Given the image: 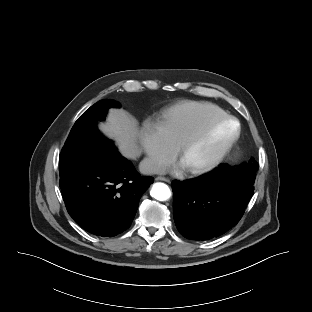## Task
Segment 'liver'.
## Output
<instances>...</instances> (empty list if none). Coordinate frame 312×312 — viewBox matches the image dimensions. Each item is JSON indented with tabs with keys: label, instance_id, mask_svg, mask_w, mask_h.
<instances>
[{
	"label": "liver",
	"instance_id": "6515ba94",
	"mask_svg": "<svg viewBox=\"0 0 312 312\" xmlns=\"http://www.w3.org/2000/svg\"><path fill=\"white\" fill-rule=\"evenodd\" d=\"M99 129L105 136L115 141L124 157L136 159L141 155L138 145V122L123 109H110L106 122L100 123Z\"/></svg>",
	"mask_w": 312,
	"mask_h": 312
}]
</instances>
